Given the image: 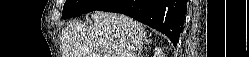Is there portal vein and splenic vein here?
I'll return each mask as SVG.
<instances>
[{
	"instance_id": "1",
	"label": "portal vein and splenic vein",
	"mask_w": 249,
	"mask_h": 57,
	"mask_svg": "<svg viewBox=\"0 0 249 57\" xmlns=\"http://www.w3.org/2000/svg\"><path fill=\"white\" fill-rule=\"evenodd\" d=\"M104 57H109V55L106 54V55H104Z\"/></svg>"
}]
</instances>
